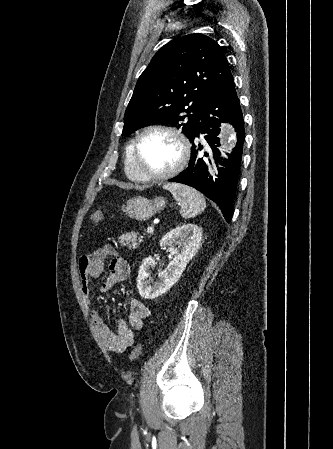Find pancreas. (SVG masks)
Returning a JSON list of instances; mask_svg holds the SVG:
<instances>
[{"label":"pancreas","mask_w":333,"mask_h":449,"mask_svg":"<svg viewBox=\"0 0 333 449\" xmlns=\"http://www.w3.org/2000/svg\"><path fill=\"white\" fill-rule=\"evenodd\" d=\"M139 233L131 231L119 237V243L129 249H135L142 242Z\"/></svg>","instance_id":"1"}]
</instances>
